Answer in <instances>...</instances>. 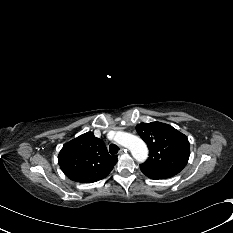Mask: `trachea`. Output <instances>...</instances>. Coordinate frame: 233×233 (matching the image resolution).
<instances>
[{"instance_id":"1","label":"trachea","mask_w":233,"mask_h":233,"mask_svg":"<svg viewBox=\"0 0 233 233\" xmlns=\"http://www.w3.org/2000/svg\"><path fill=\"white\" fill-rule=\"evenodd\" d=\"M118 150H119V147L116 145V144H111L110 146H109V152H110V154H116L117 152H118Z\"/></svg>"}]
</instances>
